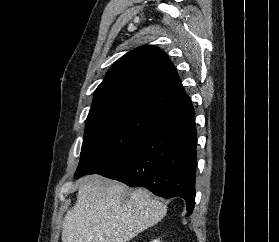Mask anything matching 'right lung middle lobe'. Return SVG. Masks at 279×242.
<instances>
[{
    "instance_id": "dd1d6c3e",
    "label": "right lung middle lobe",
    "mask_w": 279,
    "mask_h": 242,
    "mask_svg": "<svg viewBox=\"0 0 279 242\" xmlns=\"http://www.w3.org/2000/svg\"><path fill=\"white\" fill-rule=\"evenodd\" d=\"M160 115L117 111L88 115L75 178L99 173L142 141L157 127Z\"/></svg>"
}]
</instances>
